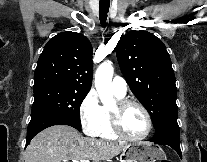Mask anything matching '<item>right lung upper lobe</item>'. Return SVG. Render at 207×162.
Segmentation results:
<instances>
[{"mask_svg": "<svg viewBox=\"0 0 207 162\" xmlns=\"http://www.w3.org/2000/svg\"><path fill=\"white\" fill-rule=\"evenodd\" d=\"M92 47L76 32H61L51 38L39 57L34 88L60 86L88 92L92 82Z\"/></svg>", "mask_w": 207, "mask_h": 162, "instance_id": "obj_1", "label": "right lung upper lobe"}]
</instances>
